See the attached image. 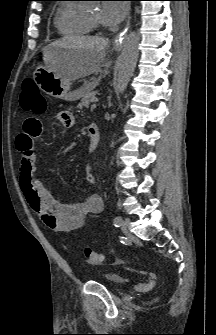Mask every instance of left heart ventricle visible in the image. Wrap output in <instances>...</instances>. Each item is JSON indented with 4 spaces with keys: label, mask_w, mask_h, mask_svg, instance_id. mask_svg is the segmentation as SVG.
Listing matches in <instances>:
<instances>
[{
    "label": "left heart ventricle",
    "mask_w": 216,
    "mask_h": 335,
    "mask_svg": "<svg viewBox=\"0 0 216 335\" xmlns=\"http://www.w3.org/2000/svg\"><path fill=\"white\" fill-rule=\"evenodd\" d=\"M88 16H89L91 19L97 21V20L99 19V12H98V10L93 11V12L89 13Z\"/></svg>",
    "instance_id": "obj_1"
}]
</instances>
